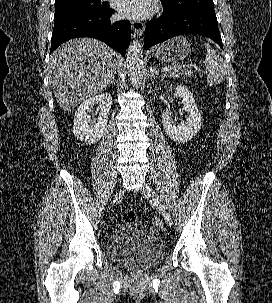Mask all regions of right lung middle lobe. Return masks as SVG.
Returning a JSON list of instances; mask_svg holds the SVG:
<instances>
[{
    "instance_id": "dd1d6c3e",
    "label": "right lung middle lobe",
    "mask_w": 272,
    "mask_h": 303,
    "mask_svg": "<svg viewBox=\"0 0 272 303\" xmlns=\"http://www.w3.org/2000/svg\"><path fill=\"white\" fill-rule=\"evenodd\" d=\"M54 19L83 11H103L107 6L101 0H66L56 2Z\"/></svg>"
}]
</instances>
